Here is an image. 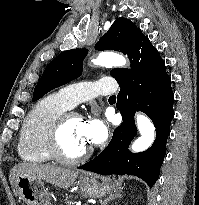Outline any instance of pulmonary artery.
<instances>
[{"label":"pulmonary artery","mask_w":199,"mask_h":205,"mask_svg":"<svg viewBox=\"0 0 199 205\" xmlns=\"http://www.w3.org/2000/svg\"><path fill=\"white\" fill-rule=\"evenodd\" d=\"M116 87L108 85L104 80H93L70 84L59 91L62 100L69 108L78 103L92 99L98 95H108L115 91Z\"/></svg>","instance_id":"1"}]
</instances>
